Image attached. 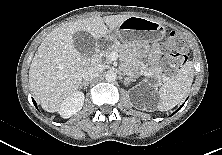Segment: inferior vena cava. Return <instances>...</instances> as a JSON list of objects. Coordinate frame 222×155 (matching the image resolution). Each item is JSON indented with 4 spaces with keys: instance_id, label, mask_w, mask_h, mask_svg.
<instances>
[{
    "instance_id": "602c4592",
    "label": "inferior vena cava",
    "mask_w": 222,
    "mask_h": 155,
    "mask_svg": "<svg viewBox=\"0 0 222 155\" xmlns=\"http://www.w3.org/2000/svg\"><path fill=\"white\" fill-rule=\"evenodd\" d=\"M103 71V68L100 64H92L84 68L82 72V78L85 81H90L95 77L99 76Z\"/></svg>"
}]
</instances>
